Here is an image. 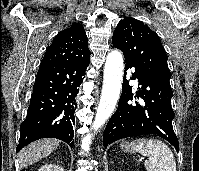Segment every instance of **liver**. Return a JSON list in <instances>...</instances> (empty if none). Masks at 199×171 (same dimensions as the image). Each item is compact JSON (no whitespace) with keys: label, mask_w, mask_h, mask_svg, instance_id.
<instances>
[{"label":"liver","mask_w":199,"mask_h":171,"mask_svg":"<svg viewBox=\"0 0 199 171\" xmlns=\"http://www.w3.org/2000/svg\"><path fill=\"white\" fill-rule=\"evenodd\" d=\"M59 140L44 138L30 143L18 154L20 168L27 167L51 154L59 145Z\"/></svg>","instance_id":"liver-1"}]
</instances>
